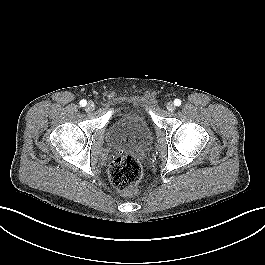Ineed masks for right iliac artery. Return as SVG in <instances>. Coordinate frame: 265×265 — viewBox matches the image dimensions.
I'll list each match as a JSON object with an SVG mask.
<instances>
[{
	"label": "right iliac artery",
	"instance_id": "obj_1",
	"mask_svg": "<svg viewBox=\"0 0 265 265\" xmlns=\"http://www.w3.org/2000/svg\"><path fill=\"white\" fill-rule=\"evenodd\" d=\"M86 104H87L86 100L83 99L80 101V106L84 107L86 106Z\"/></svg>",
	"mask_w": 265,
	"mask_h": 265
}]
</instances>
